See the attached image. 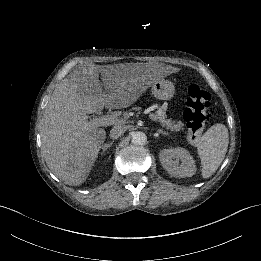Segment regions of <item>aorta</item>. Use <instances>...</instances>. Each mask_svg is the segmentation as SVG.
<instances>
[{
  "instance_id": "762f6f07",
  "label": "aorta",
  "mask_w": 261,
  "mask_h": 261,
  "mask_svg": "<svg viewBox=\"0 0 261 261\" xmlns=\"http://www.w3.org/2000/svg\"><path fill=\"white\" fill-rule=\"evenodd\" d=\"M131 142L133 145H136V146L145 145L147 142V136L145 133L140 132V131L134 132L132 134Z\"/></svg>"
}]
</instances>
